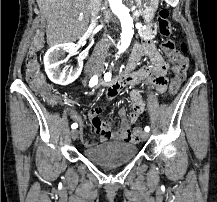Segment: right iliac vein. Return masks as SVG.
<instances>
[{"label": "right iliac vein", "mask_w": 217, "mask_h": 202, "mask_svg": "<svg viewBox=\"0 0 217 202\" xmlns=\"http://www.w3.org/2000/svg\"><path fill=\"white\" fill-rule=\"evenodd\" d=\"M90 75H92V73H91ZM77 136H78V131H77V130H73V131L71 132V137H72V139H73V140H76V139H77Z\"/></svg>", "instance_id": "63e3f726"}]
</instances>
